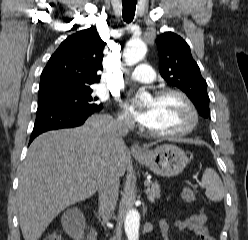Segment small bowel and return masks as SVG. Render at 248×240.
I'll return each instance as SVG.
<instances>
[{
  "instance_id": "c3829d8e",
  "label": "small bowel",
  "mask_w": 248,
  "mask_h": 240,
  "mask_svg": "<svg viewBox=\"0 0 248 240\" xmlns=\"http://www.w3.org/2000/svg\"><path fill=\"white\" fill-rule=\"evenodd\" d=\"M207 215L200 210L191 213L186 219L178 220L175 223V229L179 233H192L199 240H215L207 226ZM159 228L166 240H173L172 231L168 224L167 218H163L159 222Z\"/></svg>"
}]
</instances>
